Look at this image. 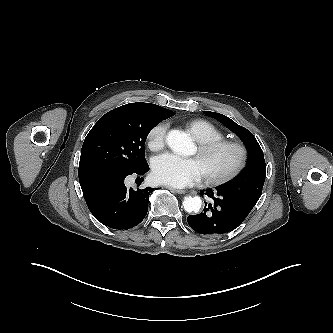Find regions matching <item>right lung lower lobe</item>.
<instances>
[{
    "mask_svg": "<svg viewBox=\"0 0 333 333\" xmlns=\"http://www.w3.org/2000/svg\"><path fill=\"white\" fill-rule=\"evenodd\" d=\"M148 170V164L136 171L107 165L79 169V182L90 212L113 229L127 230L138 225L147 214L149 194L154 189H127L124 179L133 173L143 175Z\"/></svg>",
    "mask_w": 333,
    "mask_h": 333,
    "instance_id": "98d812e1",
    "label": "right lung lower lobe"
}]
</instances>
